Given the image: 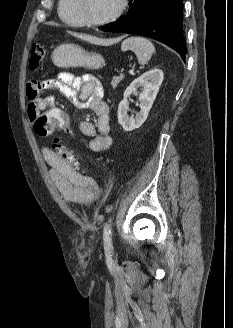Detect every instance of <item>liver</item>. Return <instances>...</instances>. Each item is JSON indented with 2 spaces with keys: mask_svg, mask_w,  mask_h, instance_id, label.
<instances>
[{
  "mask_svg": "<svg viewBox=\"0 0 233 328\" xmlns=\"http://www.w3.org/2000/svg\"><path fill=\"white\" fill-rule=\"evenodd\" d=\"M68 33L71 34L74 37L80 38L84 41H88V42L93 43V44L103 43V41L101 39H99L97 37H94V36H91V35L76 33V32H71V31H68Z\"/></svg>",
  "mask_w": 233,
  "mask_h": 328,
  "instance_id": "1",
  "label": "liver"
}]
</instances>
